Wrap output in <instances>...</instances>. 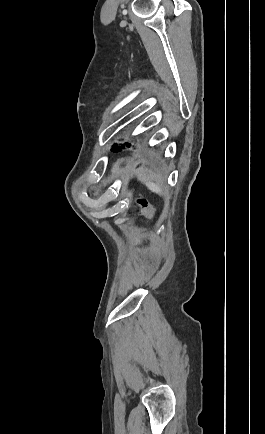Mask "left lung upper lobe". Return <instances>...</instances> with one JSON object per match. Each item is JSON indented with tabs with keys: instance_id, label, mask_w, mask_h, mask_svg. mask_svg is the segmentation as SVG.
Segmentation results:
<instances>
[{
	"instance_id": "obj_1",
	"label": "left lung upper lobe",
	"mask_w": 265,
	"mask_h": 434,
	"mask_svg": "<svg viewBox=\"0 0 265 434\" xmlns=\"http://www.w3.org/2000/svg\"><path fill=\"white\" fill-rule=\"evenodd\" d=\"M124 145H122V146H120V147H123ZM120 147H117V148H120ZM113 150V149H112Z\"/></svg>"
}]
</instances>
